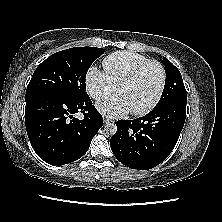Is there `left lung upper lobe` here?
Segmentation results:
<instances>
[{"mask_svg":"<svg viewBox=\"0 0 222 222\" xmlns=\"http://www.w3.org/2000/svg\"><path fill=\"white\" fill-rule=\"evenodd\" d=\"M166 80L162 96L157 105L173 99L187 100V92L180 71L167 59L163 58Z\"/></svg>","mask_w":222,"mask_h":222,"instance_id":"obj_1","label":"left lung upper lobe"}]
</instances>
